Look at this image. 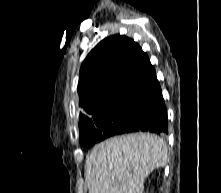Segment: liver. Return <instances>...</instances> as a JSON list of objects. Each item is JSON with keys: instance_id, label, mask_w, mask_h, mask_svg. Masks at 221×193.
I'll return each mask as SVG.
<instances>
[{"instance_id": "liver-1", "label": "liver", "mask_w": 221, "mask_h": 193, "mask_svg": "<svg viewBox=\"0 0 221 193\" xmlns=\"http://www.w3.org/2000/svg\"><path fill=\"white\" fill-rule=\"evenodd\" d=\"M166 142L150 133L112 137L96 145L86 159L89 193H142L145 178L164 167Z\"/></svg>"}]
</instances>
